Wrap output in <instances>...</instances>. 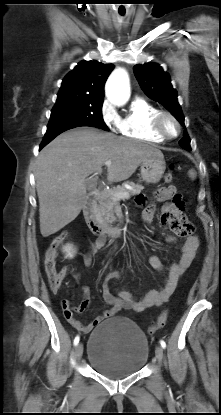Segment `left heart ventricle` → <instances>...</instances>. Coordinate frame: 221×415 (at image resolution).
<instances>
[{"mask_svg":"<svg viewBox=\"0 0 221 415\" xmlns=\"http://www.w3.org/2000/svg\"><path fill=\"white\" fill-rule=\"evenodd\" d=\"M165 127H166L167 131H168L170 134H175V133H176V126H175V124H174V122H173V121H171V120L167 119V120L165 121Z\"/></svg>","mask_w":221,"mask_h":415,"instance_id":"left-heart-ventricle-1","label":"left heart ventricle"}]
</instances>
